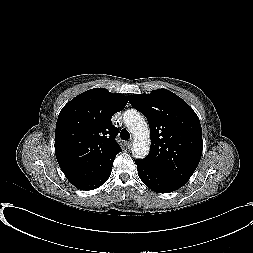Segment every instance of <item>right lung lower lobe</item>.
I'll use <instances>...</instances> for the list:
<instances>
[{
  "instance_id": "obj_1",
  "label": "right lung lower lobe",
  "mask_w": 253,
  "mask_h": 253,
  "mask_svg": "<svg viewBox=\"0 0 253 253\" xmlns=\"http://www.w3.org/2000/svg\"><path fill=\"white\" fill-rule=\"evenodd\" d=\"M111 170H112V166L109 168V170H107L105 173L99 175L98 177H96V178H94L90 181H87V182H84V183H81V184H77V185H74V186H76L77 188H79L81 190L96 189L108 180V178L111 175Z\"/></svg>"
}]
</instances>
